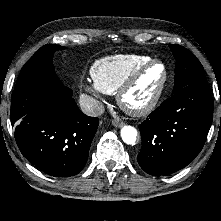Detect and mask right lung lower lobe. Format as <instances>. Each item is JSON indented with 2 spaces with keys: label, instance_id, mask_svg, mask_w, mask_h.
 I'll return each instance as SVG.
<instances>
[{
  "label": "right lung lower lobe",
  "instance_id": "right-lung-lower-lobe-1",
  "mask_svg": "<svg viewBox=\"0 0 221 221\" xmlns=\"http://www.w3.org/2000/svg\"><path fill=\"white\" fill-rule=\"evenodd\" d=\"M61 84H43L12 98L17 145L27 160L48 175L69 177L84 167L98 118L86 116Z\"/></svg>",
  "mask_w": 221,
  "mask_h": 221
}]
</instances>
